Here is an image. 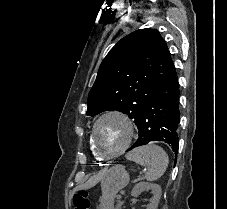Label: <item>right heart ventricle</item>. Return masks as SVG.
<instances>
[{"label":"right heart ventricle","instance_id":"e07e8e85","mask_svg":"<svg viewBox=\"0 0 227 209\" xmlns=\"http://www.w3.org/2000/svg\"><path fill=\"white\" fill-rule=\"evenodd\" d=\"M89 147H90V150H91L93 156H94L97 160H99V158L97 157V155H96V153H95V151H94V149H93V147H92V145H91L90 140H89Z\"/></svg>","mask_w":227,"mask_h":209}]
</instances>
